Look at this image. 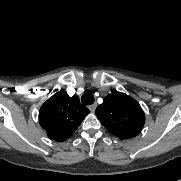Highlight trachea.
I'll return each mask as SVG.
<instances>
[{
    "mask_svg": "<svg viewBox=\"0 0 181 181\" xmlns=\"http://www.w3.org/2000/svg\"><path fill=\"white\" fill-rule=\"evenodd\" d=\"M81 102L83 105H90L94 103V96L91 93H85L81 97Z\"/></svg>",
    "mask_w": 181,
    "mask_h": 181,
    "instance_id": "obj_1",
    "label": "trachea"
}]
</instances>
